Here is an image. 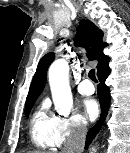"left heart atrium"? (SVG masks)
<instances>
[{
  "mask_svg": "<svg viewBox=\"0 0 130 153\" xmlns=\"http://www.w3.org/2000/svg\"><path fill=\"white\" fill-rule=\"evenodd\" d=\"M82 108H83L85 115L89 119H94L97 117L99 108H98V104L96 100L92 98L85 99L82 103Z\"/></svg>",
  "mask_w": 130,
  "mask_h": 153,
  "instance_id": "left-heart-atrium-1",
  "label": "left heart atrium"
}]
</instances>
